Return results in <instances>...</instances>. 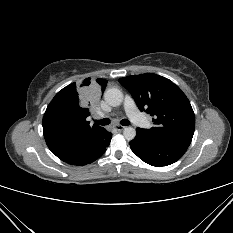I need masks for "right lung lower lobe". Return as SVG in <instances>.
<instances>
[{
	"label": "right lung lower lobe",
	"instance_id": "obj_1",
	"mask_svg": "<svg viewBox=\"0 0 233 233\" xmlns=\"http://www.w3.org/2000/svg\"><path fill=\"white\" fill-rule=\"evenodd\" d=\"M111 137H112V134L107 131L106 137L103 140V142L99 145V147L85 157L78 158V159L61 158V160L66 163L73 164V165H85V164L91 163L104 154V152L106 151V148L110 144Z\"/></svg>",
	"mask_w": 233,
	"mask_h": 233
}]
</instances>
